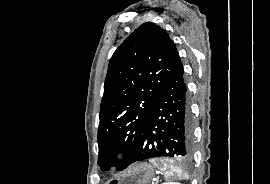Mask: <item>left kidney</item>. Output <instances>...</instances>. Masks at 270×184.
Returning a JSON list of instances; mask_svg holds the SVG:
<instances>
[{"mask_svg": "<svg viewBox=\"0 0 270 184\" xmlns=\"http://www.w3.org/2000/svg\"><path fill=\"white\" fill-rule=\"evenodd\" d=\"M168 184H181V183H178V182H171V183H168Z\"/></svg>", "mask_w": 270, "mask_h": 184, "instance_id": "5707ae66", "label": "left kidney"}]
</instances>
